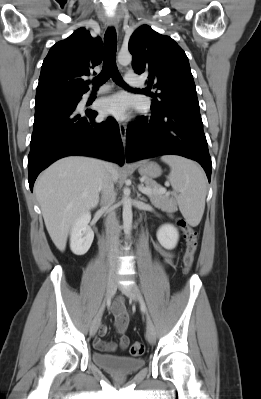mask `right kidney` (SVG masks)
<instances>
[{
  "instance_id": "obj_1",
  "label": "right kidney",
  "mask_w": 261,
  "mask_h": 399,
  "mask_svg": "<svg viewBox=\"0 0 261 399\" xmlns=\"http://www.w3.org/2000/svg\"><path fill=\"white\" fill-rule=\"evenodd\" d=\"M91 214L86 212L77 218L70 232V249L75 255H84L94 239V232L88 225Z\"/></svg>"
}]
</instances>
